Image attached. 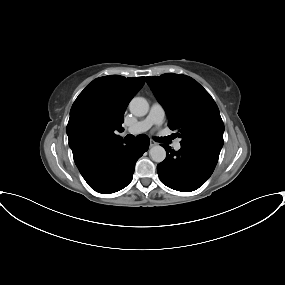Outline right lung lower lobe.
<instances>
[{"label": "right lung lower lobe", "instance_id": "obj_1", "mask_svg": "<svg viewBox=\"0 0 285 285\" xmlns=\"http://www.w3.org/2000/svg\"><path fill=\"white\" fill-rule=\"evenodd\" d=\"M149 142V138L143 134L133 142H125L126 144L116 140L91 149L74 161L93 190L105 194L113 193L131 182L135 163L148 150Z\"/></svg>", "mask_w": 285, "mask_h": 285}]
</instances>
